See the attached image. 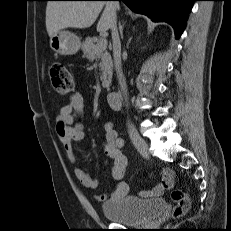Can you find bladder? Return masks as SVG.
<instances>
[{
  "label": "bladder",
  "mask_w": 231,
  "mask_h": 231,
  "mask_svg": "<svg viewBox=\"0 0 231 231\" xmlns=\"http://www.w3.org/2000/svg\"><path fill=\"white\" fill-rule=\"evenodd\" d=\"M165 208L166 202L163 199L142 200L127 196L118 201L106 202L101 210L113 222L143 226L158 218Z\"/></svg>",
  "instance_id": "31cf9c89"
}]
</instances>
